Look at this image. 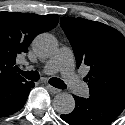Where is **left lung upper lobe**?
I'll return each instance as SVG.
<instances>
[{
	"mask_svg": "<svg viewBox=\"0 0 125 125\" xmlns=\"http://www.w3.org/2000/svg\"><path fill=\"white\" fill-rule=\"evenodd\" d=\"M60 25L69 39L77 67L85 64L90 95L125 99V38L116 29L97 21L62 17Z\"/></svg>",
	"mask_w": 125,
	"mask_h": 125,
	"instance_id": "1",
	"label": "left lung upper lobe"
}]
</instances>
